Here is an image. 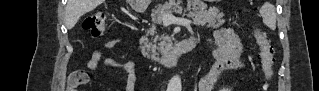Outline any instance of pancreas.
<instances>
[{"mask_svg": "<svg viewBox=\"0 0 319 91\" xmlns=\"http://www.w3.org/2000/svg\"><path fill=\"white\" fill-rule=\"evenodd\" d=\"M193 11L188 7L189 11L186 16L192 18L193 21L199 25L207 24V27L217 28L224 24V14L218 13V10L212 8L206 10L205 5H199L198 3H192ZM182 7L179 4L166 3L158 6L151 14L153 24H161L163 15L172 12H181ZM150 34H155L154 28L150 29ZM171 45V40L167 36L159 37L155 36L151 38V41L145 43V55L150 57L152 60L159 62L162 56L167 54V47Z\"/></svg>", "mask_w": 319, "mask_h": 91, "instance_id": "cf45deb5", "label": "pancreas"}]
</instances>
